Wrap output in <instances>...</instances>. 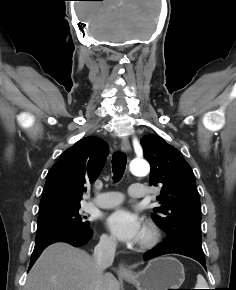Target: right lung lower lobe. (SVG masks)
<instances>
[{
  "label": "right lung lower lobe",
  "instance_id": "1",
  "mask_svg": "<svg viewBox=\"0 0 236 290\" xmlns=\"http://www.w3.org/2000/svg\"><path fill=\"white\" fill-rule=\"evenodd\" d=\"M91 237L92 231L90 230V228H88L76 231L56 232L36 238L29 269L33 266L34 262L37 260L42 250L49 244L54 242H66L75 247H78L86 244Z\"/></svg>",
  "mask_w": 236,
  "mask_h": 290
}]
</instances>
